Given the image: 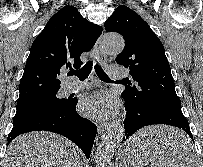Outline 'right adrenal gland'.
Returning a JSON list of instances; mask_svg holds the SVG:
<instances>
[{"label": "right adrenal gland", "instance_id": "obj_1", "mask_svg": "<svg viewBox=\"0 0 203 167\" xmlns=\"http://www.w3.org/2000/svg\"><path fill=\"white\" fill-rule=\"evenodd\" d=\"M81 167H83V163L81 162Z\"/></svg>", "mask_w": 203, "mask_h": 167}]
</instances>
